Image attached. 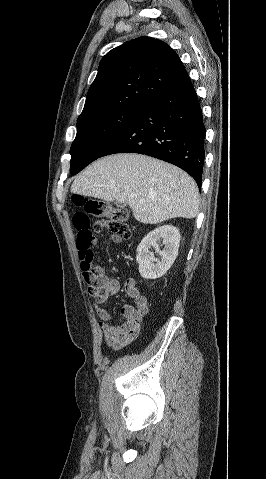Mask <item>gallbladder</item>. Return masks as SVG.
Returning a JSON list of instances; mask_svg holds the SVG:
<instances>
[{"instance_id": "gallbladder-1", "label": "gallbladder", "mask_w": 266, "mask_h": 479, "mask_svg": "<svg viewBox=\"0 0 266 479\" xmlns=\"http://www.w3.org/2000/svg\"><path fill=\"white\" fill-rule=\"evenodd\" d=\"M116 205H117L118 207H125V206H126L125 204L120 203V202H116Z\"/></svg>"}]
</instances>
